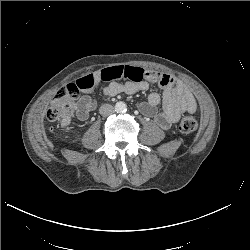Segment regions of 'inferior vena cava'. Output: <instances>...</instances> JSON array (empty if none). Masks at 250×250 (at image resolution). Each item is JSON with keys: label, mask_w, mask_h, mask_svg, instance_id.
I'll return each mask as SVG.
<instances>
[{"label": "inferior vena cava", "mask_w": 250, "mask_h": 250, "mask_svg": "<svg viewBox=\"0 0 250 250\" xmlns=\"http://www.w3.org/2000/svg\"><path fill=\"white\" fill-rule=\"evenodd\" d=\"M114 107L110 104H104L100 107L99 112L102 116H108L114 112Z\"/></svg>", "instance_id": "1"}]
</instances>
